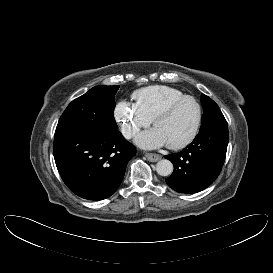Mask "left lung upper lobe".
I'll return each instance as SVG.
<instances>
[{"instance_id":"left-lung-upper-lobe-1","label":"left lung upper lobe","mask_w":273,"mask_h":273,"mask_svg":"<svg viewBox=\"0 0 273 273\" xmlns=\"http://www.w3.org/2000/svg\"><path fill=\"white\" fill-rule=\"evenodd\" d=\"M201 104L203 107V116L200 131L210 130L220 127H228L218 105L208 96L201 95ZM199 131V132H200Z\"/></svg>"}]
</instances>
